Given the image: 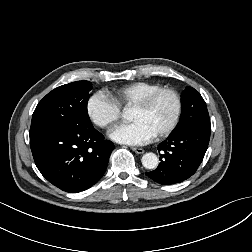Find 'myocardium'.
I'll use <instances>...</instances> for the list:
<instances>
[{"instance_id":"f54148a6","label":"myocardium","mask_w":252,"mask_h":252,"mask_svg":"<svg viewBox=\"0 0 252 252\" xmlns=\"http://www.w3.org/2000/svg\"><path fill=\"white\" fill-rule=\"evenodd\" d=\"M164 93H169L171 94L174 99H175V112L173 115L172 120L170 121V123L160 132L156 133L155 136L159 137V138H163L168 136L177 126L180 117H181V113H182V98L181 95L179 94V92L173 88L170 87H162L156 91L151 92L150 94H148L144 99H142L140 102L136 103L133 108H137V109H148L153 103L154 101L161 95Z\"/></svg>"}]
</instances>
